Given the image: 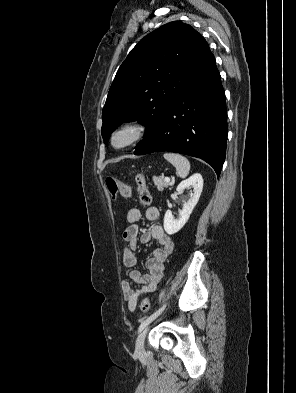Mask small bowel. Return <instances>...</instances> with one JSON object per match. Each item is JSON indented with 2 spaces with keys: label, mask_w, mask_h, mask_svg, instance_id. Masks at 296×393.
<instances>
[{
  "label": "small bowel",
  "mask_w": 296,
  "mask_h": 393,
  "mask_svg": "<svg viewBox=\"0 0 296 393\" xmlns=\"http://www.w3.org/2000/svg\"><path fill=\"white\" fill-rule=\"evenodd\" d=\"M146 219L155 221L159 217V211L156 207H149L145 211ZM142 218V213L138 208H131L127 213V220L130 225L123 232V240L126 247L123 251V264L128 268H134L137 264L135 251L138 247V241L142 244L149 243L152 239L156 240L159 247L154 250L152 256L146 262L148 272L141 274L140 271L132 269L129 273L130 280L139 284L138 288L132 286L131 281H124L122 288L127 301L128 309L133 312L136 309L138 299L141 295L156 290L157 285L163 275L164 262L173 251L174 242L168 236L163 228L154 225L149 231H141L137 222Z\"/></svg>",
  "instance_id": "obj_1"
}]
</instances>
